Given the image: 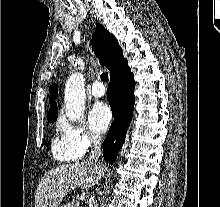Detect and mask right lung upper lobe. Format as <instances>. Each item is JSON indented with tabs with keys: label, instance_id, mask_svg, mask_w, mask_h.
I'll return each mask as SVG.
<instances>
[{
	"label": "right lung upper lobe",
	"instance_id": "1",
	"mask_svg": "<svg viewBox=\"0 0 220 207\" xmlns=\"http://www.w3.org/2000/svg\"><path fill=\"white\" fill-rule=\"evenodd\" d=\"M91 44L102 66L105 65L108 67L110 72L112 71L114 65L123 58L122 48L119 46V43L101 24L96 25V30L92 35ZM49 92L51 107L47 114L48 121L54 120L58 117V109L55 102L58 95L57 85L52 84L49 88Z\"/></svg>",
	"mask_w": 220,
	"mask_h": 207
}]
</instances>
